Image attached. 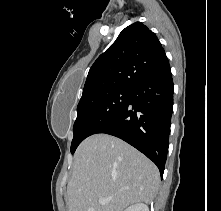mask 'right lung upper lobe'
Segmentation results:
<instances>
[{"label": "right lung upper lobe", "instance_id": "obj_1", "mask_svg": "<svg viewBox=\"0 0 221 211\" xmlns=\"http://www.w3.org/2000/svg\"><path fill=\"white\" fill-rule=\"evenodd\" d=\"M170 68L156 35L141 22L121 31L109 49L89 70L83 94L85 100L120 88H131L142 79Z\"/></svg>", "mask_w": 221, "mask_h": 211}]
</instances>
